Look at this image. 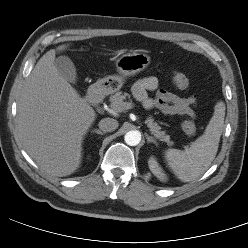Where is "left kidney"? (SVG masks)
I'll return each instance as SVG.
<instances>
[{
  "label": "left kidney",
  "mask_w": 248,
  "mask_h": 248,
  "mask_svg": "<svg viewBox=\"0 0 248 248\" xmlns=\"http://www.w3.org/2000/svg\"><path fill=\"white\" fill-rule=\"evenodd\" d=\"M149 168L151 172L160 180L165 181L167 179L166 175L162 171L161 167L158 165L157 161L151 157L148 161Z\"/></svg>",
  "instance_id": "left-kidney-1"
}]
</instances>
